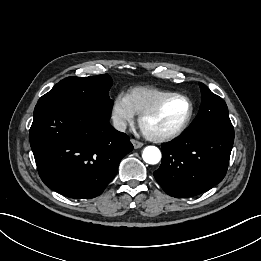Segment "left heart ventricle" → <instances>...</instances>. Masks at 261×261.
<instances>
[{"label":"left heart ventricle","mask_w":261,"mask_h":261,"mask_svg":"<svg viewBox=\"0 0 261 261\" xmlns=\"http://www.w3.org/2000/svg\"><path fill=\"white\" fill-rule=\"evenodd\" d=\"M188 110L189 106L185 100L171 99L156 115L145 121V128L153 133L170 131L184 120Z\"/></svg>","instance_id":"b2bd125f"}]
</instances>
